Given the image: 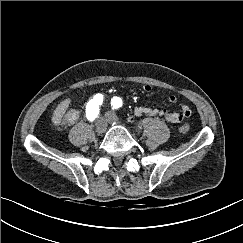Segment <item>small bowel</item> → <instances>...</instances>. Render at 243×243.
<instances>
[{"label": "small bowel", "mask_w": 243, "mask_h": 243, "mask_svg": "<svg viewBox=\"0 0 243 243\" xmlns=\"http://www.w3.org/2000/svg\"><path fill=\"white\" fill-rule=\"evenodd\" d=\"M143 90L145 92H150L152 90V86L149 84L143 85ZM168 101L172 104L177 102V97L174 94H170L168 96ZM191 115V110L186 104L181 105L180 112H170L164 107L159 108H152V107H144V106H137L134 109V116H162L167 121L172 123H179L184 119L188 118Z\"/></svg>", "instance_id": "small-bowel-1"}]
</instances>
